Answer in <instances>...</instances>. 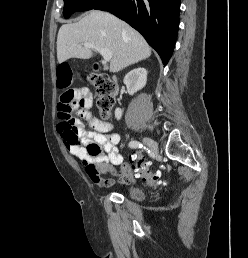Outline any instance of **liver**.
<instances>
[{"label":"liver","mask_w":248,"mask_h":258,"mask_svg":"<svg viewBox=\"0 0 248 258\" xmlns=\"http://www.w3.org/2000/svg\"><path fill=\"white\" fill-rule=\"evenodd\" d=\"M91 43L112 53L110 72H118L151 55L145 39L135 29L115 16L90 11L74 24L62 25L57 37V59L60 64L70 58L89 59L92 49L83 46Z\"/></svg>","instance_id":"1"}]
</instances>
